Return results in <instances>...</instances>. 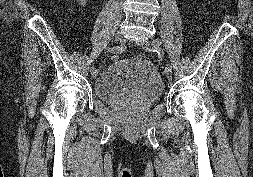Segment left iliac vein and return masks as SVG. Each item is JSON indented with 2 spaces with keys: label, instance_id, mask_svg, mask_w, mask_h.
<instances>
[{
  "label": "left iliac vein",
  "instance_id": "1",
  "mask_svg": "<svg viewBox=\"0 0 253 177\" xmlns=\"http://www.w3.org/2000/svg\"><path fill=\"white\" fill-rule=\"evenodd\" d=\"M138 46L145 50V51H151L152 48L150 46V42L148 40H140L138 43ZM165 76L168 80L172 79V72L169 69H165Z\"/></svg>",
  "mask_w": 253,
  "mask_h": 177
}]
</instances>
